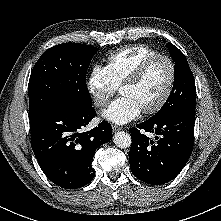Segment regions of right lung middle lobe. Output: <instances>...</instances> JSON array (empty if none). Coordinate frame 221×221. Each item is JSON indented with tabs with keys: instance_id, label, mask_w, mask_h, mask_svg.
<instances>
[{
	"instance_id": "obj_1",
	"label": "right lung middle lobe",
	"mask_w": 221,
	"mask_h": 221,
	"mask_svg": "<svg viewBox=\"0 0 221 221\" xmlns=\"http://www.w3.org/2000/svg\"><path fill=\"white\" fill-rule=\"evenodd\" d=\"M97 50L80 43H63L46 50L29 79V116L54 102L79 109L91 106L86 72Z\"/></svg>"
}]
</instances>
